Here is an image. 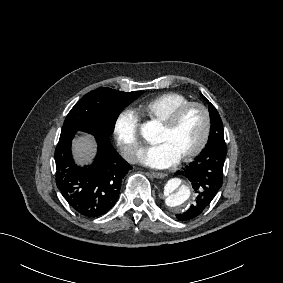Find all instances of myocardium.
<instances>
[{"mask_svg": "<svg viewBox=\"0 0 283 283\" xmlns=\"http://www.w3.org/2000/svg\"><path fill=\"white\" fill-rule=\"evenodd\" d=\"M196 107L198 108L204 119V133L202 136L201 141L199 144L191 151L185 153L178 161H188L195 157H197L207 146L209 138H210V131H211V116L207 107L197 101H190L186 104L179 106L178 108L170 111L167 116L160 122V124L168 131L172 130L176 124L178 123L179 119L183 116V114L189 110L190 108Z\"/></svg>", "mask_w": 283, "mask_h": 283, "instance_id": "obj_1", "label": "myocardium"}]
</instances>
